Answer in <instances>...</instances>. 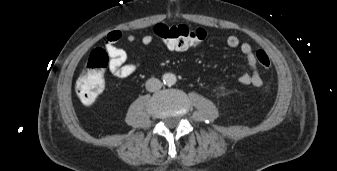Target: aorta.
<instances>
[{"label": "aorta", "instance_id": "762f6f07", "mask_svg": "<svg viewBox=\"0 0 337 171\" xmlns=\"http://www.w3.org/2000/svg\"><path fill=\"white\" fill-rule=\"evenodd\" d=\"M177 79L176 76L173 73H167L164 75V83L166 85H174L176 83Z\"/></svg>", "mask_w": 337, "mask_h": 171}]
</instances>
